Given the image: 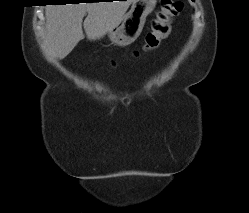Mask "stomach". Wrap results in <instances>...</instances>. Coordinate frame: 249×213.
Segmentation results:
<instances>
[{"instance_id": "1", "label": "stomach", "mask_w": 249, "mask_h": 213, "mask_svg": "<svg viewBox=\"0 0 249 213\" xmlns=\"http://www.w3.org/2000/svg\"><path fill=\"white\" fill-rule=\"evenodd\" d=\"M156 0H133L131 9L122 20L108 32L109 39L118 46L133 43L140 35L146 17L154 10Z\"/></svg>"}]
</instances>
